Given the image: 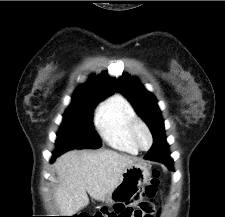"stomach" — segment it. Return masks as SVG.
I'll return each instance as SVG.
<instances>
[{
	"mask_svg": "<svg viewBox=\"0 0 225 217\" xmlns=\"http://www.w3.org/2000/svg\"><path fill=\"white\" fill-rule=\"evenodd\" d=\"M148 176L149 172L143 164L134 163L132 165H129L123 170L116 189L119 187L141 186L148 180ZM112 194L106 199L107 202L112 201Z\"/></svg>",
	"mask_w": 225,
	"mask_h": 217,
	"instance_id": "stomach-1",
	"label": "stomach"
}]
</instances>
